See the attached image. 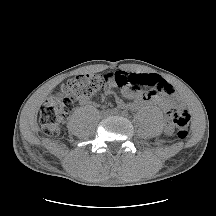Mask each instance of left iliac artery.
<instances>
[{"label":"left iliac artery","instance_id":"44dca946","mask_svg":"<svg viewBox=\"0 0 216 216\" xmlns=\"http://www.w3.org/2000/svg\"><path fill=\"white\" fill-rule=\"evenodd\" d=\"M123 115H127V112L124 111V112H123Z\"/></svg>","mask_w":216,"mask_h":216}]
</instances>
